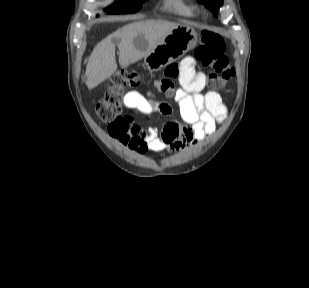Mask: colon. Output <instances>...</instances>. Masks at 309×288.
<instances>
[{
    "label": "colon",
    "mask_w": 309,
    "mask_h": 288,
    "mask_svg": "<svg viewBox=\"0 0 309 288\" xmlns=\"http://www.w3.org/2000/svg\"><path fill=\"white\" fill-rule=\"evenodd\" d=\"M194 58L205 68L209 69L208 84L214 90L224 88L230 81L234 70L225 55V44L220 35L203 31L199 43L194 50ZM140 83L136 71L119 70L112 75L105 96L97 103L96 113L105 122L120 121L124 124L133 122V116L121 104L122 94L126 87ZM160 93L172 95V87L165 82L157 84Z\"/></svg>",
    "instance_id": "colon-1"
}]
</instances>
